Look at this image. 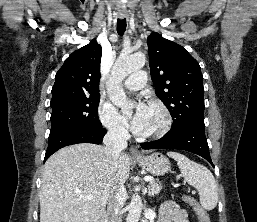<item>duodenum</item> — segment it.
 Masks as SVG:
<instances>
[{
    "instance_id": "obj_1",
    "label": "duodenum",
    "mask_w": 257,
    "mask_h": 222,
    "mask_svg": "<svg viewBox=\"0 0 257 222\" xmlns=\"http://www.w3.org/2000/svg\"><path fill=\"white\" fill-rule=\"evenodd\" d=\"M97 222H106V216L102 215Z\"/></svg>"
}]
</instances>
